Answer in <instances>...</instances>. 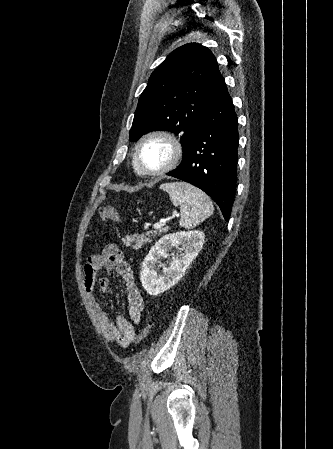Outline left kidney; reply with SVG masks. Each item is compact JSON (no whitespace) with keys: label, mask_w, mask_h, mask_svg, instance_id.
I'll list each match as a JSON object with an SVG mask.
<instances>
[{"label":"left kidney","mask_w":333,"mask_h":449,"mask_svg":"<svg viewBox=\"0 0 333 449\" xmlns=\"http://www.w3.org/2000/svg\"><path fill=\"white\" fill-rule=\"evenodd\" d=\"M203 231L194 230L167 234L160 238L145 257L140 272L143 288L150 295H158L175 285L184 275L191 262L197 257L204 244ZM178 248L175 257L168 267H163V273H157L155 265L158 260L169 255V251Z\"/></svg>","instance_id":"5707ae66"}]
</instances>
